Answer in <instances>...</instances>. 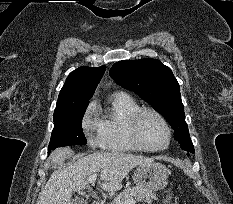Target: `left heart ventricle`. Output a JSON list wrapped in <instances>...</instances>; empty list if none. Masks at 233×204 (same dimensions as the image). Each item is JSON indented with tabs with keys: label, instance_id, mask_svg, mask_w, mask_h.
<instances>
[{
	"label": "left heart ventricle",
	"instance_id": "obj_1",
	"mask_svg": "<svg viewBox=\"0 0 233 204\" xmlns=\"http://www.w3.org/2000/svg\"><path fill=\"white\" fill-rule=\"evenodd\" d=\"M142 141L151 148L162 147L167 142V131L161 121L152 114L142 116L139 123Z\"/></svg>",
	"mask_w": 233,
	"mask_h": 204
}]
</instances>
